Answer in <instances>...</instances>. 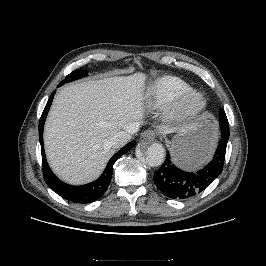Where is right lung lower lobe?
I'll list each match as a JSON object with an SVG mask.
<instances>
[{
  "instance_id": "obj_1",
  "label": "right lung lower lobe",
  "mask_w": 266,
  "mask_h": 266,
  "mask_svg": "<svg viewBox=\"0 0 266 266\" xmlns=\"http://www.w3.org/2000/svg\"><path fill=\"white\" fill-rule=\"evenodd\" d=\"M61 86L60 84L58 87ZM56 91H53L51 94L44 111L41 115L39 122V139L41 144V152H42V164H43V176L47 185L55 191L58 195L67 199L69 201L75 203H91L97 199H99L104 192L107 190L113 172V165L115 161L123 154L127 153L135 146V142L132 141L126 146H124L121 150H119L108 162L103 174L94 182L83 186H71L60 181L51 171L44 152L43 147V127L45 123L46 116L48 114L49 108L53 101L54 95Z\"/></svg>"
}]
</instances>
